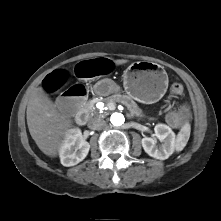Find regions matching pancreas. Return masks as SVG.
I'll use <instances>...</instances> for the list:
<instances>
[{"mask_svg": "<svg viewBox=\"0 0 221 221\" xmlns=\"http://www.w3.org/2000/svg\"><path fill=\"white\" fill-rule=\"evenodd\" d=\"M95 101L96 100H90L86 104V111L89 114H93L96 112L95 108ZM103 102L107 105L108 103H121L127 107V109L130 111V113L136 117L142 118L143 112L139 108V106L136 104V102L129 96L127 95H121V94H116L112 95L106 99L103 100Z\"/></svg>", "mask_w": 221, "mask_h": 221, "instance_id": "1", "label": "pancreas"}]
</instances>
